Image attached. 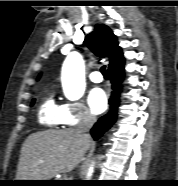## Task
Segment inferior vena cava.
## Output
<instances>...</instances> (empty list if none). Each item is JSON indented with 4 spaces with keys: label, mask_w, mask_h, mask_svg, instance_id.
I'll use <instances>...</instances> for the list:
<instances>
[{
    "label": "inferior vena cava",
    "mask_w": 178,
    "mask_h": 186,
    "mask_svg": "<svg viewBox=\"0 0 178 186\" xmlns=\"http://www.w3.org/2000/svg\"><path fill=\"white\" fill-rule=\"evenodd\" d=\"M95 122L96 117L89 111H86L76 130L85 136H89L88 132L90 131Z\"/></svg>",
    "instance_id": "inferior-vena-cava-1"
}]
</instances>
